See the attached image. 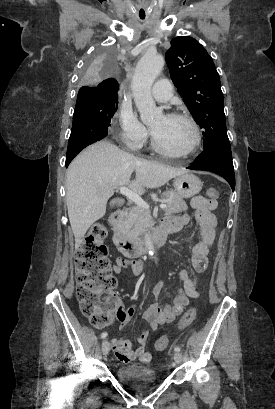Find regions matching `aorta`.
Wrapping results in <instances>:
<instances>
[{"label": "aorta", "mask_w": 275, "mask_h": 409, "mask_svg": "<svg viewBox=\"0 0 275 409\" xmlns=\"http://www.w3.org/2000/svg\"><path fill=\"white\" fill-rule=\"evenodd\" d=\"M163 51H144L140 58L132 80L133 98L140 112L142 122L148 124L163 116L162 108L156 106L151 94V86L164 66ZM145 247L149 255H154V247L150 235H145Z\"/></svg>", "instance_id": "obj_1"}]
</instances>
